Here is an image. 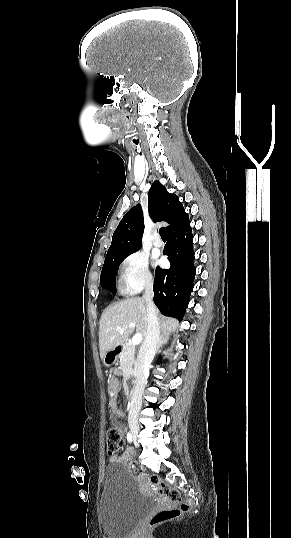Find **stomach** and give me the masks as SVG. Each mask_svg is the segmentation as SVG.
<instances>
[{"instance_id":"1","label":"stomach","mask_w":291,"mask_h":538,"mask_svg":"<svg viewBox=\"0 0 291 538\" xmlns=\"http://www.w3.org/2000/svg\"><path fill=\"white\" fill-rule=\"evenodd\" d=\"M118 361V355L115 352V350L107 351L103 357V363L105 366H111L117 363Z\"/></svg>"}]
</instances>
